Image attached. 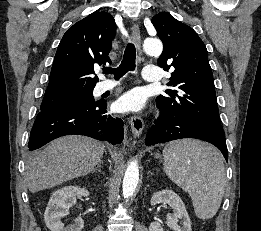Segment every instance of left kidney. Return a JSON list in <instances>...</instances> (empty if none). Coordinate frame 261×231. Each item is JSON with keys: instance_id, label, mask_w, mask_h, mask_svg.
<instances>
[{"instance_id": "left-kidney-1", "label": "left kidney", "mask_w": 261, "mask_h": 231, "mask_svg": "<svg viewBox=\"0 0 261 231\" xmlns=\"http://www.w3.org/2000/svg\"><path fill=\"white\" fill-rule=\"evenodd\" d=\"M151 205L160 203L168 204L172 209L173 213L167 215L166 224L174 231H192L191 220L186 211L185 205L181 198L171 190H162L153 194ZM179 219L183 220V225H178ZM149 231H163L160 222H152L149 227Z\"/></svg>"}]
</instances>
